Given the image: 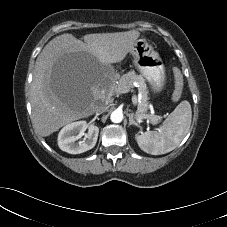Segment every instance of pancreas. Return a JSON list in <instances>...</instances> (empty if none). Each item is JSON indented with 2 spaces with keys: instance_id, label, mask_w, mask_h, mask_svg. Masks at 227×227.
<instances>
[{
  "instance_id": "cf45deb5",
  "label": "pancreas",
  "mask_w": 227,
  "mask_h": 227,
  "mask_svg": "<svg viewBox=\"0 0 227 227\" xmlns=\"http://www.w3.org/2000/svg\"><path fill=\"white\" fill-rule=\"evenodd\" d=\"M116 79H118V84L115 86L114 92L116 94H119L117 91L118 87H127L131 88L133 86V83H138L139 85V92L141 94V100L137 104V113L138 116L149 120L152 124H157L160 120L161 117L157 115H150L146 114L149 106L148 102V88L147 84L145 82V79L143 78L142 75H137L135 71H130L127 74H124L121 77L116 76Z\"/></svg>"
}]
</instances>
